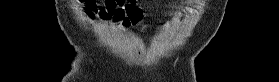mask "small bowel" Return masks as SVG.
Instances as JSON below:
<instances>
[{
	"mask_svg": "<svg viewBox=\"0 0 279 82\" xmlns=\"http://www.w3.org/2000/svg\"><path fill=\"white\" fill-rule=\"evenodd\" d=\"M135 1L133 0H105L103 3H92L91 8H88L87 16L92 19L94 15H98L102 18H110L119 27H127L125 22V10L127 6H133ZM166 25V22L157 23V27L161 28Z\"/></svg>",
	"mask_w": 279,
	"mask_h": 82,
	"instance_id": "small-bowel-1",
	"label": "small bowel"
}]
</instances>
